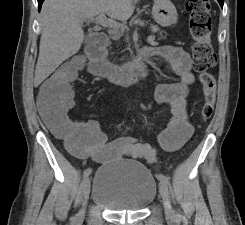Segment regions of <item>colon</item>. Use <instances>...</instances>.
<instances>
[{"mask_svg": "<svg viewBox=\"0 0 245 225\" xmlns=\"http://www.w3.org/2000/svg\"><path fill=\"white\" fill-rule=\"evenodd\" d=\"M190 14V32L194 40L192 53L195 61V69L200 74V82L203 91V104L200 118L208 121L212 118L216 99V82L208 72L214 68L217 62L216 55L211 45L212 20L210 16L211 4L208 0H188ZM78 65V61L72 62L70 67ZM72 74L70 68H62L50 76L42 85L41 91L54 101L57 106L65 99L71 89ZM57 133L64 144L69 148L75 146L76 130L68 125L55 124Z\"/></svg>", "mask_w": 245, "mask_h": 225, "instance_id": "1", "label": "colon"}]
</instances>
